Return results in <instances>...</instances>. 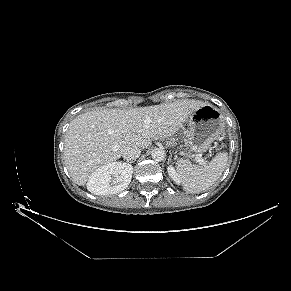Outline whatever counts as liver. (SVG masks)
<instances>
[{
  "instance_id": "1",
  "label": "liver",
  "mask_w": 291,
  "mask_h": 291,
  "mask_svg": "<svg viewBox=\"0 0 291 291\" xmlns=\"http://www.w3.org/2000/svg\"><path fill=\"white\" fill-rule=\"evenodd\" d=\"M206 105L184 99L130 110H94L74 118L65 134L64 161L73 181L83 186L103 165L118 160L128 145L148 148L152 140L175 135L190 115Z\"/></svg>"
}]
</instances>
